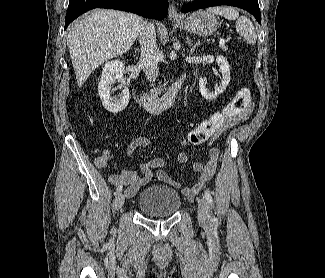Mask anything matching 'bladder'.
Wrapping results in <instances>:
<instances>
[{
	"instance_id": "1",
	"label": "bladder",
	"mask_w": 325,
	"mask_h": 278,
	"mask_svg": "<svg viewBox=\"0 0 325 278\" xmlns=\"http://www.w3.org/2000/svg\"><path fill=\"white\" fill-rule=\"evenodd\" d=\"M181 207V196L172 187L154 184L145 187L138 199V208L146 216L168 217Z\"/></svg>"
}]
</instances>
